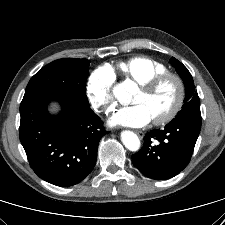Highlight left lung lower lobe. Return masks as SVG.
Here are the masks:
<instances>
[{
	"label": "left lung lower lobe",
	"mask_w": 225,
	"mask_h": 225,
	"mask_svg": "<svg viewBox=\"0 0 225 225\" xmlns=\"http://www.w3.org/2000/svg\"><path fill=\"white\" fill-rule=\"evenodd\" d=\"M200 129L201 118L186 117L146 133L144 146L132 155L134 166L155 180L176 176L188 165Z\"/></svg>",
	"instance_id": "obj_1"
}]
</instances>
